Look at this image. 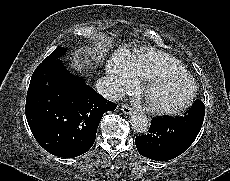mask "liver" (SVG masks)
Returning a JSON list of instances; mask_svg holds the SVG:
<instances>
[{
	"label": "liver",
	"mask_w": 230,
	"mask_h": 181,
	"mask_svg": "<svg viewBox=\"0 0 230 181\" xmlns=\"http://www.w3.org/2000/svg\"><path fill=\"white\" fill-rule=\"evenodd\" d=\"M87 61H83V59L81 57H76L73 59L72 61V68L75 70H80L82 68H84L85 64Z\"/></svg>",
	"instance_id": "1"
}]
</instances>
